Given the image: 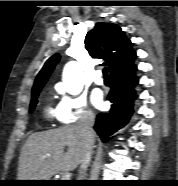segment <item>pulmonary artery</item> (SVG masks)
Here are the masks:
<instances>
[{
	"instance_id": "obj_1",
	"label": "pulmonary artery",
	"mask_w": 178,
	"mask_h": 186,
	"mask_svg": "<svg viewBox=\"0 0 178 186\" xmlns=\"http://www.w3.org/2000/svg\"><path fill=\"white\" fill-rule=\"evenodd\" d=\"M94 82L98 85H102L103 84V78L101 76V72L97 71L94 75Z\"/></svg>"
}]
</instances>
